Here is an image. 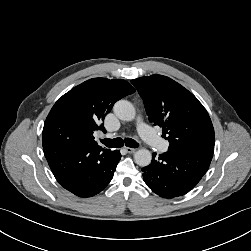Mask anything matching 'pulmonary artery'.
<instances>
[{
    "mask_svg": "<svg viewBox=\"0 0 251 251\" xmlns=\"http://www.w3.org/2000/svg\"><path fill=\"white\" fill-rule=\"evenodd\" d=\"M137 129L143 140L150 145L153 149L166 152L169 147V143L160 138L147 124L138 120Z\"/></svg>",
    "mask_w": 251,
    "mask_h": 251,
    "instance_id": "obj_1",
    "label": "pulmonary artery"
}]
</instances>
